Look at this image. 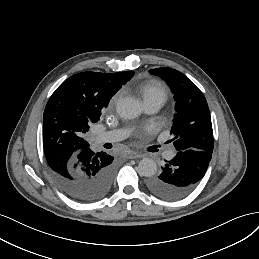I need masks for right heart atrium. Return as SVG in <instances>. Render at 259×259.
<instances>
[{
	"mask_svg": "<svg viewBox=\"0 0 259 259\" xmlns=\"http://www.w3.org/2000/svg\"><path fill=\"white\" fill-rule=\"evenodd\" d=\"M119 98H120V93H116V94L113 96V101H114V103L118 102Z\"/></svg>",
	"mask_w": 259,
	"mask_h": 259,
	"instance_id": "1",
	"label": "right heart atrium"
}]
</instances>
